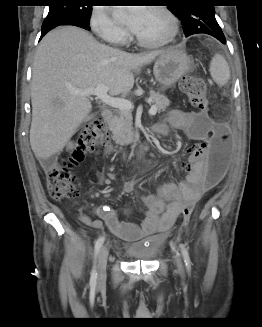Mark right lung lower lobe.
Returning <instances> with one entry per match:
<instances>
[{"mask_svg":"<svg viewBox=\"0 0 262 327\" xmlns=\"http://www.w3.org/2000/svg\"><path fill=\"white\" fill-rule=\"evenodd\" d=\"M60 25H74V26L81 27V28L86 29V30H90L89 22H84V21H81V20H78V19H71V18L58 19V20H55V21H52V22H49V23H43L40 39L42 37H44V35L48 31H50L51 29H53V28H55L57 26H60Z\"/></svg>","mask_w":262,"mask_h":327,"instance_id":"1","label":"right lung lower lobe"}]
</instances>
